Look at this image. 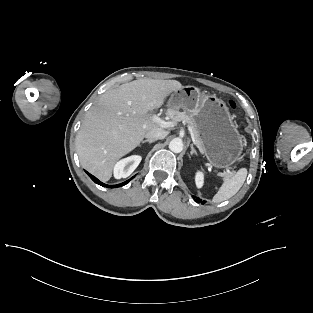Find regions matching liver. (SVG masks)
Wrapping results in <instances>:
<instances>
[{
    "mask_svg": "<svg viewBox=\"0 0 313 313\" xmlns=\"http://www.w3.org/2000/svg\"><path fill=\"white\" fill-rule=\"evenodd\" d=\"M181 88L176 80L145 78L102 94L86 113L76 137L82 167L108 181L121 157L135 149L149 131L161 129L152 121L151 112Z\"/></svg>",
    "mask_w": 313,
    "mask_h": 313,
    "instance_id": "6515ba94",
    "label": "liver"
}]
</instances>
